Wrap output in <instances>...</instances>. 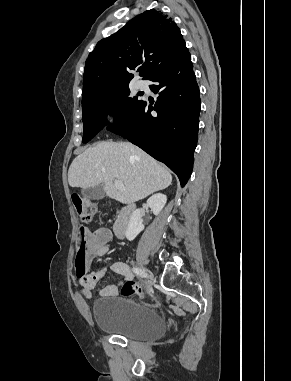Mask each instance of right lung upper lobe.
Returning <instances> with one entry per match:
<instances>
[{
	"label": "right lung upper lobe",
	"instance_id": "cb5924a9",
	"mask_svg": "<svg viewBox=\"0 0 291 381\" xmlns=\"http://www.w3.org/2000/svg\"><path fill=\"white\" fill-rule=\"evenodd\" d=\"M179 27L155 9L133 18L113 35L98 42L85 63L82 105L111 89L128 86L130 72L142 64L149 79L184 49Z\"/></svg>",
	"mask_w": 291,
	"mask_h": 381
}]
</instances>
